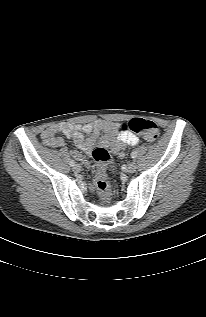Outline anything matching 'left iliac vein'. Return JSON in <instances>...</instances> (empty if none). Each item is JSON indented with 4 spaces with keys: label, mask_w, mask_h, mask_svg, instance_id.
<instances>
[{
    "label": "left iliac vein",
    "mask_w": 206,
    "mask_h": 317,
    "mask_svg": "<svg viewBox=\"0 0 206 317\" xmlns=\"http://www.w3.org/2000/svg\"><path fill=\"white\" fill-rule=\"evenodd\" d=\"M137 169V164L136 162L132 161L128 164L127 168H126V172L131 174L134 173Z\"/></svg>",
    "instance_id": "4c4485c4"
}]
</instances>
